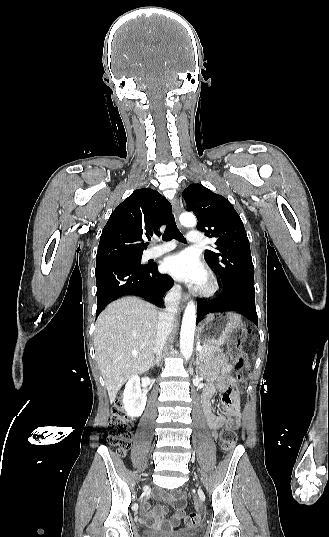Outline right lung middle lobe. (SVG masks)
<instances>
[{
  "instance_id": "right-lung-middle-lobe-1",
  "label": "right lung middle lobe",
  "mask_w": 329,
  "mask_h": 537,
  "mask_svg": "<svg viewBox=\"0 0 329 537\" xmlns=\"http://www.w3.org/2000/svg\"><path fill=\"white\" fill-rule=\"evenodd\" d=\"M109 263H111V264H122V265L131 264V265H137L139 267H145L146 266V265L141 264V257L117 260V261H112V262H109Z\"/></svg>"
}]
</instances>
